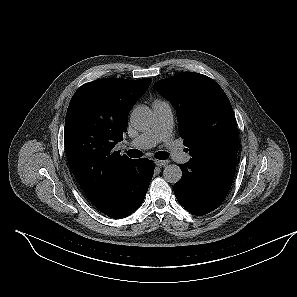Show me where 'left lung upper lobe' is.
Segmentation results:
<instances>
[{"label": "left lung upper lobe", "mask_w": 297, "mask_h": 297, "mask_svg": "<svg viewBox=\"0 0 297 297\" xmlns=\"http://www.w3.org/2000/svg\"><path fill=\"white\" fill-rule=\"evenodd\" d=\"M153 88L176 109L179 134L197 168L220 165L239 151V135L231 103L211 78L182 72L157 81Z\"/></svg>", "instance_id": "1"}]
</instances>
